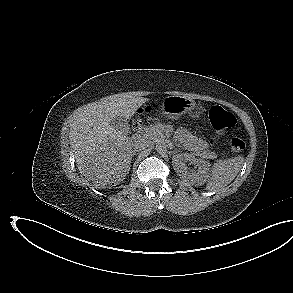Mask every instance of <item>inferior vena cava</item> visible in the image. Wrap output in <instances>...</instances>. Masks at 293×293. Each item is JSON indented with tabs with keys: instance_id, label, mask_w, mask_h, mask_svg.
<instances>
[{
	"instance_id": "inferior-vena-cava-1",
	"label": "inferior vena cava",
	"mask_w": 293,
	"mask_h": 293,
	"mask_svg": "<svg viewBox=\"0 0 293 293\" xmlns=\"http://www.w3.org/2000/svg\"><path fill=\"white\" fill-rule=\"evenodd\" d=\"M148 146H149V143L147 140H145V139L137 140L133 144V149H134V152H139V151L147 148Z\"/></svg>"
}]
</instances>
